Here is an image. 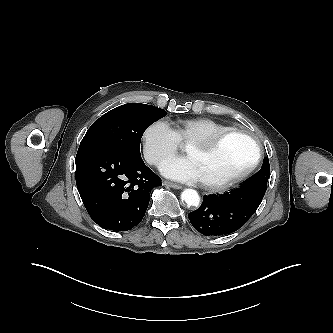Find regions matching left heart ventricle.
Listing matches in <instances>:
<instances>
[{
	"label": "left heart ventricle",
	"instance_id": "obj_1",
	"mask_svg": "<svg viewBox=\"0 0 333 333\" xmlns=\"http://www.w3.org/2000/svg\"><path fill=\"white\" fill-rule=\"evenodd\" d=\"M186 154L194 161L201 181L220 182L247 167L253 159L254 148L247 138L231 135L211 151L188 146Z\"/></svg>",
	"mask_w": 333,
	"mask_h": 333
}]
</instances>
